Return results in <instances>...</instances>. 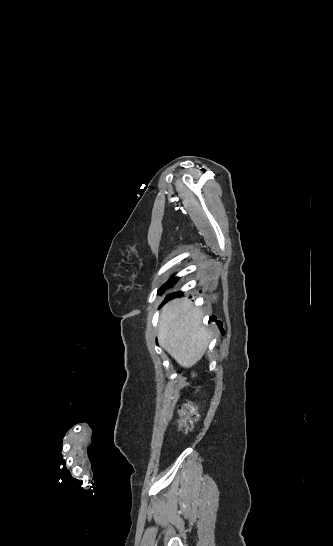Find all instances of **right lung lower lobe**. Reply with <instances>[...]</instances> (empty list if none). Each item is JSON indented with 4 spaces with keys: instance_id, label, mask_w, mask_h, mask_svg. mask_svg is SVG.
<instances>
[{
    "instance_id": "right-lung-lower-lobe-1",
    "label": "right lung lower lobe",
    "mask_w": 333,
    "mask_h": 546,
    "mask_svg": "<svg viewBox=\"0 0 333 546\" xmlns=\"http://www.w3.org/2000/svg\"><path fill=\"white\" fill-rule=\"evenodd\" d=\"M178 280V277H172L167 283H165L159 290H158V293L161 294L164 292V290L166 288H169L171 286H173ZM178 296H182V293L181 292H176V293H172V294H169L165 301L163 302V304L167 301V300H170V299H173L175 297H178Z\"/></svg>"
}]
</instances>
